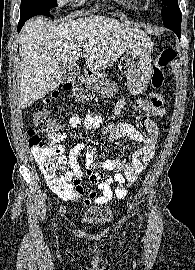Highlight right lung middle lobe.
<instances>
[{
  "label": "right lung middle lobe",
  "instance_id": "1",
  "mask_svg": "<svg viewBox=\"0 0 195 270\" xmlns=\"http://www.w3.org/2000/svg\"><path fill=\"white\" fill-rule=\"evenodd\" d=\"M57 0H21V11L34 12L37 15H46L54 18L49 10L55 7Z\"/></svg>",
  "mask_w": 195,
  "mask_h": 270
}]
</instances>
